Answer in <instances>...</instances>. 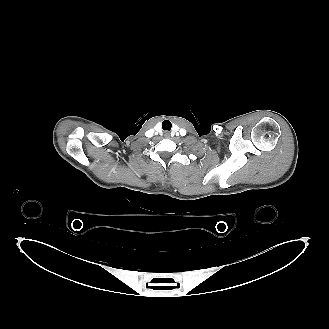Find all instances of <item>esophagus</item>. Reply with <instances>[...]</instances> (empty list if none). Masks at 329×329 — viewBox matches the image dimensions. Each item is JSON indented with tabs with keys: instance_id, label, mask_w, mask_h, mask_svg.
<instances>
[{
	"instance_id": "34e87169",
	"label": "esophagus",
	"mask_w": 329,
	"mask_h": 329,
	"mask_svg": "<svg viewBox=\"0 0 329 329\" xmlns=\"http://www.w3.org/2000/svg\"><path fill=\"white\" fill-rule=\"evenodd\" d=\"M164 136H165L166 138H169V137H170V133H169L168 131H166V132L164 133Z\"/></svg>"
}]
</instances>
